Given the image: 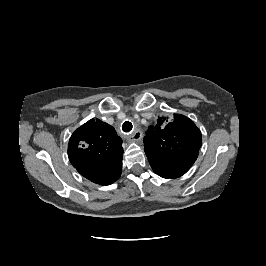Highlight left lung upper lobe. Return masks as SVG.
Masks as SVG:
<instances>
[{
    "label": "left lung upper lobe",
    "instance_id": "1",
    "mask_svg": "<svg viewBox=\"0 0 266 266\" xmlns=\"http://www.w3.org/2000/svg\"><path fill=\"white\" fill-rule=\"evenodd\" d=\"M144 137V150L153 171L163 178L184 175L196 161L202 145L200 130L191 119L174 114L173 120L159 117Z\"/></svg>",
    "mask_w": 266,
    "mask_h": 266
}]
</instances>
